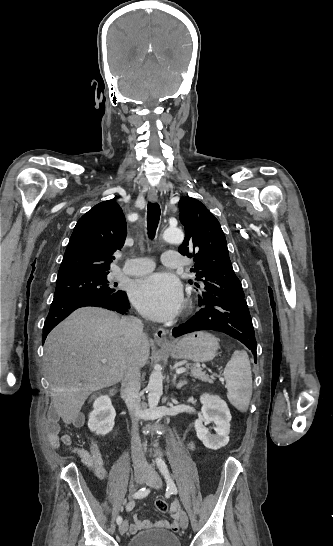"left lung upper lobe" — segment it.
I'll return each instance as SVG.
<instances>
[{
	"label": "left lung upper lobe",
	"instance_id": "obj_1",
	"mask_svg": "<svg viewBox=\"0 0 333 546\" xmlns=\"http://www.w3.org/2000/svg\"><path fill=\"white\" fill-rule=\"evenodd\" d=\"M180 222L185 228V239L179 252L194 260L196 280L201 283L199 296L210 295L222 300L244 299L240 280L235 275L227 248L226 238L216 217L197 199L181 198Z\"/></svg>",
	"mask_w": 333,
	"mask_h": 546
}]
</instances>
